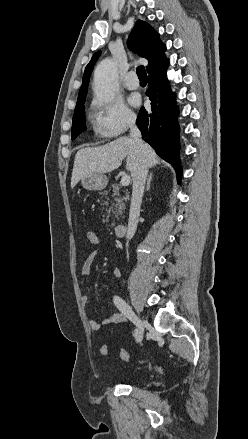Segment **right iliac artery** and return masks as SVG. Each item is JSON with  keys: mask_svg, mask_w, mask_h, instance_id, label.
<instances>
[{"mask_svg": "<svg viewBox=\"0 0 248 439\" xmlns=\"http://www.w3.org/2000/svg\"><path fill=\"white\" fill-rule=\"evenodd\" d=\"M115 306L133 323L137 328L141 325L138 323L137 316L133 313L130 306L119 296H114Z\"/></svg>", "mask_w": 248, "mask_h": 439, "instance_id": "1", "label": "right iliac artery"}]
</instances>
